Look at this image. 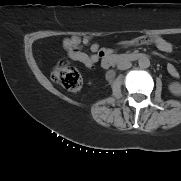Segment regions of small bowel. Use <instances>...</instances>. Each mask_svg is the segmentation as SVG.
Returning a JSON list of instances; mask_svg holds the SVG:
<instances>
[{
  "label": "small bowel",
  "instance_id": "small-bowel-1",
  "mask_svg": "<svg viewBox=\"0 0 181 181\" xmlns=\"http://www.w3.org/2000/svg\"><path fill=\"white\" fill-rule=\"evenodd\" d=\"M91 40L90 36H67L63 38L62 45L70 59L83 64L88 69H93L100 58L104 56L105 51L98 49L96 45L91 47L92 54H87L79 50L81 44H88ZM155 44L162 51H169L171 49L170 44L162 37H157ZM168 72L173 77L179 76L177 69L173 65L168 66Z\"/></svg>",
  "mask_w": 181,
  "mask_h": 181
}]
</instances>
